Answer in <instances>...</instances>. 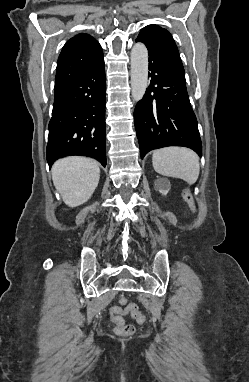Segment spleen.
Wrapping results in <instances>:
<instances>
[{"label": "spleen", "instance_id": "1", "mask_svg": "<svg viewBox=\"0 0 249 382\" xmlns=\"http://www.w3.org/2000/svg\"><path fill=\"white\" fill-rule=\"evenodd\" d=\"M152 164L157 173L180 178L189 184L195 183L200 173L198 155L185 147H165L153 151Z\"/></svg>", "mask_w": 249, "mask_h": 382}]
</instances>
